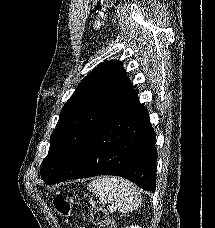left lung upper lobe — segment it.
Instances as JSON below:
<instances>
[{"label": "left lung upper lobe", "mask_w": 215, "mask_h": 228, "mask_svg": "<svg viewBox=\"0 0 215 228\" xmlns=\"http://www.w3.org/2000/svg\"><path fill=\"white\" fill-rule=\"evenodd\" d=\"M122 63L106 61L90 72L64 105L41 164L42 179L56 178L85 143L133 94Z\"/></svg>", "instance_id": "1"}]
</instances>
